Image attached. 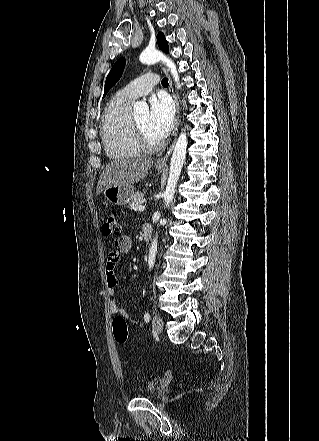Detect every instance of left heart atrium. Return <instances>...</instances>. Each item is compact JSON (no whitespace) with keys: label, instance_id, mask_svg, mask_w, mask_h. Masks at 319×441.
Here are the masks:
<instances>
[{"label":"left heart atrium","instance_id":"obj_1","mask_svg":"<svg viewBox=\"0 0 319 441\" xmlns=\"http://www.w3.org/2000/svg\"><path fill=\"white\" fill-rule=\"evenodd\" d=\"M174 123V108L164 96L150 101L149 126L152 134L159 140L167 137Z\"/></svg>","mask_w":319,"mask_h":441}]
</instances>
